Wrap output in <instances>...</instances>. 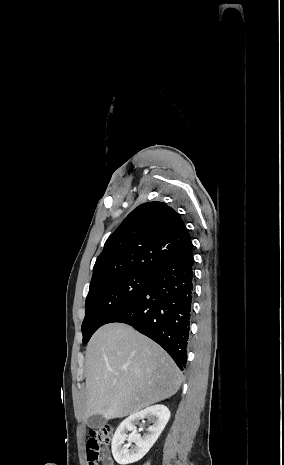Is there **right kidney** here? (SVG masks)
<instances>
[{
  "label": "right kidney",
  "mask_w": 284,
  "mask_h": 465,
  "mask_svg": "<svg viewBox=\"0 0 284 465\" xmlns=\"http://www.w3.org/2000/svg\"><path fill=\"white\" fill-rule=\"evenodd\" d=\"M141 419H148L150 423H153L151 427L146 429L144 437H141L139 433H135L132 437L127 435L128 431H136L138 421ZM170 419V411L165 405H153V407H147L139 413H133L127 419H124L120 423L115 435L112 439V455L119 463V465H129V463H136L140 461L149 449L156 443L158 437H160L163 429H165ZM129 437V439H127ZM124 441H129L131 449H123L122 445ZM135 443V445H132Z\"/></svg>",
  "instance_id": "ca27d5eb"
}]
</instances>
